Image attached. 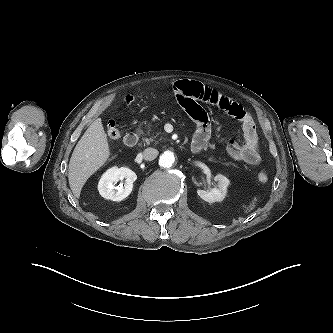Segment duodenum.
I'll use <instances>...</instances> for the list:
<instances>
[{"label": "duodenum", "mask_w": 333, "mask_h": 333, "mask_svg": "<svg viewBox=\"0 0 333 333\" xmlns=\"http://www.w3.org/2000/svg\"><path fill=\"white\" fill-rule=\"evenodd\" d=\"M138 140H139V136L135 132H129L124 137V143L128 147L136 146V144L138 143ZM191 147L194 152H199L202 149V146L200 144H195V145L193 144Z\"/></svg>", "instance_id": "duodenum-1"}]
</instances>
